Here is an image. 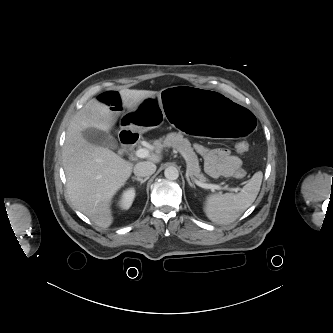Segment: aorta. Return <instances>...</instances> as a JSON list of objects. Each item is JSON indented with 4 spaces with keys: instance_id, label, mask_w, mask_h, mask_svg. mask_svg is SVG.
Segmentation results:
<instances>
[{
    "instance_id": "1",
    "label": "aorta",
    "mask_w": 333,
    "mask_h": 333,
    "mask_svg": "<svg viewBox=\"0 0 333 333\" xmlns=\"http://www.w3.org/2000/svg\"><path fill=\"white\" fill-rule=\"evenodd\" d=\"M164 176L168 180H176L179 177L178 169L174 166H169L164 170Z\"/></svg>"
}]
</instances>
